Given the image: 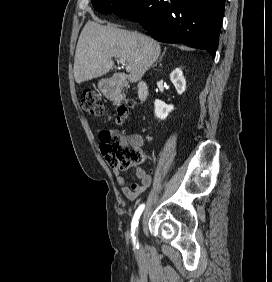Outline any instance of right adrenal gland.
I'll use <instances>...</instances> for the list:
<instances>
[{
	"label": "right adrenal gland",
	"instance_id": "right-adrenal-gland-1",
	"mask_svg": "<svg viewBox=\"0 0 272 282\" xmlns=\"http://www.w3.org/2000/svg\"><path fill=\"white\" fill-rule=\"evenodd\" d=\"M165 52H166V48L164 49L162 55L160 56V58H159V60L157 62H161L162 61V58L165 55Z\"/></svg>",
	"mask_w": 272,
	"mask_h": 282
}]
</instances>
